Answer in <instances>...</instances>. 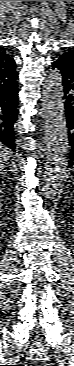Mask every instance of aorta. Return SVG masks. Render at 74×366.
I'll return each mask as SVG.
<instances>
[{
  "label": "aorta",
  "instance_id": "1",
  "mask_svg": "<svg viewBox=\"0 0 74 366\" xmlns=\"http://www.w3.org/2000/svg\"><path fill=\"white\" fill-rule=\"evenodd\" d=\"M42 109L47 147L41 190L46 198H51L62 189L68 167V128L62 76L57 70L44 82Z\"/></svg>",
  "mask_w": 74,
  "mask_h": 366
}]
</instances>
